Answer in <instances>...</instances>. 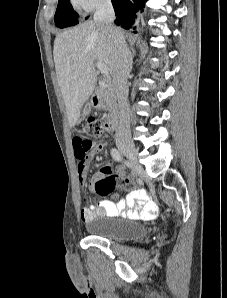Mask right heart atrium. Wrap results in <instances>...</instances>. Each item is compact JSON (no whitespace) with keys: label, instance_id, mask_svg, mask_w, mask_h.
<instances>
[{"label":"right heart atrium","instance_id":"right-heart-atrium-1","mask_svg":"<svg viewBox=\"0 0 227 298\" xmlns=\"http://www.w3.org/2000/svg\"><path fill=\"white\" fill-rule=\"evenodd\" d=\"M110 3V0H71L72 6L80 12L90 13Z\"/></svg>","mask_w":227,"mask_h":298}]
</instances>
